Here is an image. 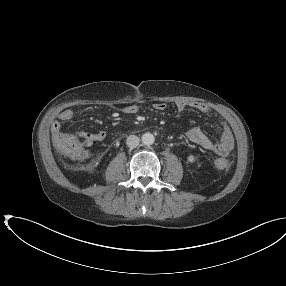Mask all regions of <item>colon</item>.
Masks as SVG:
<instances>
[{"instance_id":"1","label":"colon","mask_w":286,"mask_h":286,"mask_svg":"<svg viewBox=\"0 0 286 286\" xmlns=\"http://www.w3.org/2000/svg\"><path fill=\"white\" fill-rule=\"evenodd\" d=\"M54 144L58 152L66 158L85 162L88 161L90 155L85 149V137L81 134L59 132L54 137ZM231 161L228 159H218L215 166L218 169H227L230 167Z\"/></svg>"}]
</instances>
